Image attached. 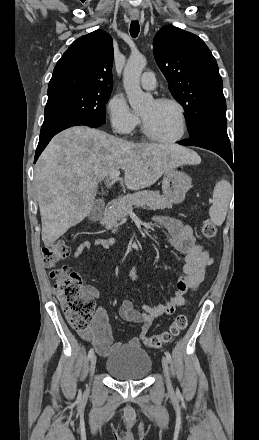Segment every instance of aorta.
Returning a JSON list of instances; mask_svg holds the SVG:
<instances>
[{
	"instance_id": "aorta-1",
	"label": "aorta",
	"mask_w": 259,
	"mask_h": 440,
	"mask_svg": "<svg viewBox=\"0 0 259 440\" xmlns=\"http://www.w3.org/2000/svg\"><path fill=\"white\" fill-rule=\"evenodd\" d=\"M146 58L142 54H132L123 72V84L130 106L135 111L147 107L153 100L149 93H144L140 87V76L146 66Z\"/></svg>"
}]
</instances>
